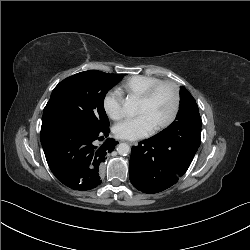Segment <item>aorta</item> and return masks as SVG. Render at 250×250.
Segmentation results:
<instances>
[{"instance_id": "762f6f07", "label": "aorta", "mask_w": 250, "mask_h": 250, "mask_svg": "<svg viewBox=\"0 0 250 250\" xmlns=\"http://www.w3.org/2000/svg\"><path fill=\"white\" fill-rule=\"evenodd\" d=\"M124 111L129 114V115H133L136 112V103L131 100L128 99L125 103H124ZM130 146L126 143H120L117 147V151L120 155L122 156H126L130 153Z\"/></svg>"}]
</instances>
